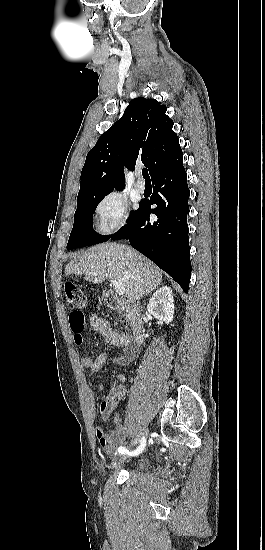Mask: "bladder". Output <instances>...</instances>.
<instances>
[{
    "instance_id": "obj_1",
    "label": "bladder",
    "mask_w": 265,
    "mask_h": 550,
    "mask_svg": "<svg viewBox=\"0 0 265 550\" xmlns=\"http://www.w3.org/2000/svg\"><path fill=\"white\" fill-rule=\"evenodd\" d=\"M148 465H149V461H148L146 458H143V459L139 460V461L136 463L137 469H144V468H146Z\"/></svg>"
}]
</instances>
